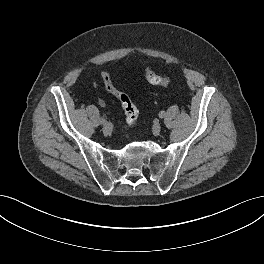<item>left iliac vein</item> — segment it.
I'll return each mask as SVG.
<instances>
[{
	"instance_id": "1",
	"label": "left iliac vein",
	"mask_w": 264,
	"mask_h": 264,
	"mask_svg": "<svg viewBox=\"0 0 264 264\" xmlns=\"http://www.w3.org/2000/svg\"><path fill=\"white\" fill-rule=\"evenodd\" d=\"M152 131H153V133L155 135H158L160 133V131H161V125H160V123H155L153 125Z\"/></svg>"
}]
</instances>
